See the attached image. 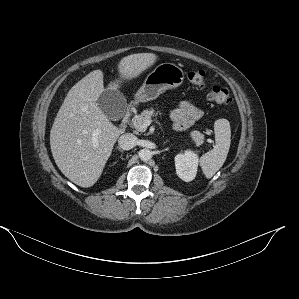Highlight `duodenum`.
<instances>
[{"label": "duodenum", "instance_id": "duodenum-1", "mask_svg": "<svg viewBox=\"0 0 299 299\" xmlns=\"http://www.w3.org/2000/svg\"><path fill=\"white\" fill-rule=\"evenodd\" d=\"M130 114H131V109L129 108L124 116V119H123V124H125L127 122V120L129 119L130 117Z\"/></svg>", "mask_w": 299, "mask_h": 299}]
</instances>
